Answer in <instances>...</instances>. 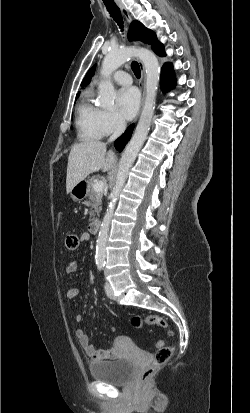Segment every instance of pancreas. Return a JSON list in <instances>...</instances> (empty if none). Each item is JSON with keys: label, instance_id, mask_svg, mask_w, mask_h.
I'll list each match as a JSON object with an SVG mask.
<instances>
[{"label": "pancreas", "instance_id": "cf45deb5", "mask_svg": "<svg viewBox=\"0 0 250 413\" xmlns=\"http://www.w3.org/2000/svg\"><path fill=\"white\" fill-rule=\"evenodd\" d=\"M96 180L94 177L90 178L88 181V186H87V197L88 200L86 202V205L91 208L90 211V221H94L95 214H99L101 211V203H102V197H103V192H96L94 190V184Z\"/></svg>", "mask_w": 250, "mask_h": 413}]
</instances>
